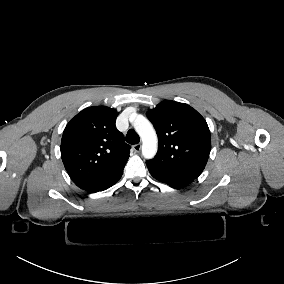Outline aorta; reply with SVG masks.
Wrapping results in <instances>:
<instances>
[{"label":"aorta","instance_id":"1","mask_svg":"<svg viewBox=\"0 0 284 284\" xmlns=\"http://www.w3.org/2000/svg\"><path fill=\"white\" fill-rule=\"evenodd\" d=\"M133 126L142 139V155L146 159H151L157 152V135L147 118L143 115H136Z\"/></svg>","mask_w":284,"mask_h":284}]
</instances>
